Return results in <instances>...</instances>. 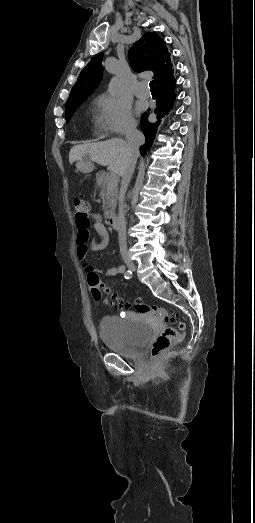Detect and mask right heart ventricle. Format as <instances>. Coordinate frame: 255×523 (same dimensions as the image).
I'll use <instances>...</instances> for the list:
<instances>
[{
    "label": "right heart ventricle",
    "instance_id": "1",
    "mask_svg": "<svg viewBox=\"0 0 255 523\" xmlns=\"http://www.w3.org/2000/svg\"><path fill=\"white\" fill-rule=\"evenodd\" d=\"M93 125L95 130L99 134H103L107 126V118L104 116L102 111H99L95 114L93 119Z\"/></svg>",
    "mask_w": 255,
    "mask_h": 523
}]
</instances>
